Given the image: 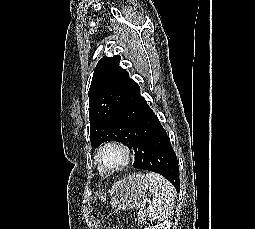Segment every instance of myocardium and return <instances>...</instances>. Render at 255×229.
Here are the masks:
<instances>
[{"label":"myocardium","instance_id":"1","mask_svg":"<svg viewBox=\"0 0 255 229\" xmlns=\"http://www.w3.org/2000/svg\"><path fill=\"white\" fill-rule=\"evenodd\" d=\"M108 149H117L122 153L123 158L119 164L115 166H107L104 163L103 154ZM131 157H132V152L130 147L127 144L118 140H109L104 142L98 148L95 155V160H96V163L98 164V169L102 170L103 172H115L126 167L129 164Z\"/></svg>","mask_w":255,"mask_h":229}]
</instances>
